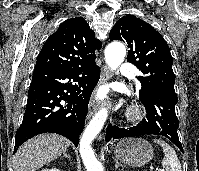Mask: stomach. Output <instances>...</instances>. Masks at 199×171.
<instances>
[{"label":"stomach","mask_w":199,"mask_h":171,"mask_svg":"<svg viewBox=\"0 0 199 171\" xmlns=\"http://www.w3.org/2000/svg\"><path fill=\"white\" fill-rule=\"evenodd\" d=\"M114 154L122 163L140 167L152 159L153 148L148 141L142 138H125L118 142Z\"/></svg>","instance_id":"1"}]
</instances>
